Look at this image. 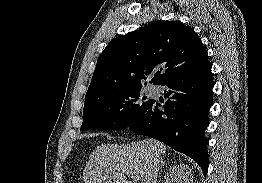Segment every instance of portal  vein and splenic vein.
Masks as SVG:
<instances>
[{
	"mask_svg": "<svg viewBox=\"0 0 262 183\" xmlns=\"http://www.w3.org/2000/svg\"><path fill=\"white\" fill-rule=\"evenodd\" d=\"M126 175L130 177L134 182H138L140 180V177L137 174H134L133 172L127 171Z\"/></svg>",
	"mask_w": 262,
	"mask_h": 183,
	"instance_id": "portal-vein-and-splenic-vein-1",
	"label": "portal vein and splenic vein"
}]
</instances>
